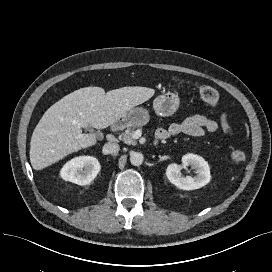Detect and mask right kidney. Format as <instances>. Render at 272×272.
I'll use <instances>...</instances> for the list:
<instances>
[{
  "label": "right kidney",
  "mask_w": 272,
  "mask_h": 272,
  "mask_svg": "<svg viewBox=\"0 0 272 272\" xmlns=\"http://www.w3.org/2000/svg\"><path fill=\"white\" fill-rule=\"evenodd\" d=\"M100 169V163L95 157L79 156L63 166L60 176L66 181L83 186L90 184Z\"/></svg>",
  "instance_id": "1"
}]
</instances>
